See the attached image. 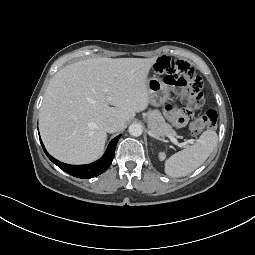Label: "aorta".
Returning <instances> with one entry per match:
<instances>
[{
  "label": "aorta",
  "instance_id": "762f6f07",
  "mask_svg": "<svg viewBox=\"0 0 255 255\" xmlns=\"http://www.w3.org/2000/svg\"><path fill=\"white\" fill-rule=\"evenodd\" d=\"M128 131H129L130 135H132L134 137H138L142 134L143 129L140 124L133 123L129 126Z\"/></svg>",
  "mask_w": 255,
  "mask_h": 255
}]
</instances>
